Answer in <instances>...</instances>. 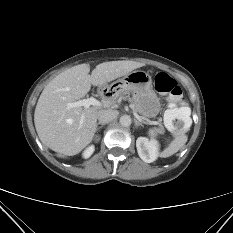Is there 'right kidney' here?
<instances>
[{
    "label": "right kidney",
    "instance_id": "1",
    "mask_svg": "<svg viewBox=\"0 0 233 233\" xmlns=\"http://www.w3.org/2000/svg\"><path fill=\"white\" fill-rule=\"evenodd\" d=\"M95 150V147L93 145L89 146L84 152H83V157L84 158H89Z\"/></svg>",
    "mask_w": 233,
    "mask_h": 233
}]
</instances>
